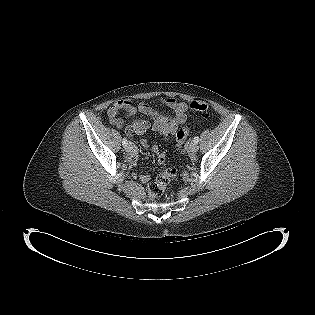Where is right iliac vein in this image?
<instances>
[{
	"mask_svg": "<svg viewBox=\"0 0 315 315\" xmlns=\"http://www.w3.org/2000/svg\"><path fill=\"white\" fill-rule=\"evenodd\" d=\"M125 149H126V151H127L128 153H130V152L133 151L134 145H133L131 142H129V143L127 144V146L125 147Z\"/></svg>",
	"mask_w": 315,
	"mask_h": 315,
	"instance_id": "right-iliac-vein-1",
	"label": "right iliac vein"
}]
</instances>
